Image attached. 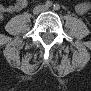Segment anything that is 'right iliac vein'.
<instances>
[{"label": "right iliac vein", "mask_w": 91, "mask_h": 91, "mask_svg": "<svg viewBox=\"0 0 91 91\" xmlns=\"http://www.w3.org/2000/svg\"><path fill=\"white\" fill-rule=\"evenodd\" d=\"M43 10L42 6H37L34 8L33 13L34 14H39Z\"/></svg>", "instance_id": "1"}]
</instances>
